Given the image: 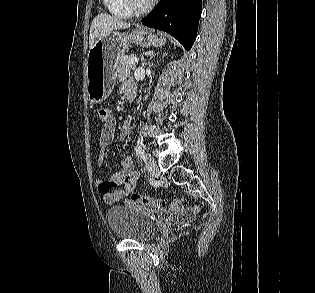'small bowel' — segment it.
<instances>
[{"mask_svg":"<svg viewBox=\"0 0 315 293\" xmlns=\"http://www.w3.org/2000/svg\"><path fill=\"white\" fill-rule=\"evenodd\" d=\"M135 93V85L133 82H125L121 87V94L129 96ZM133 119H128L121 127L119 138L124 140L131 132ZM115 119L110 114L108 121L103 124L100 146L98 152V165L104 161V157L108 146L113 142L115 135ZM139 177L138 172L134 168V162L131 157H126L121 162V169L112 175L109 181L97 179L95 187L102 201L108 205L115 204L127 197L133 190ZM152 217L157 220H174L175 216L170 211H153Z\"/></svg>","mask_w":315,"mask_h":293,"instance_id":"c3829d8e","label":"small bowel"}]
</instances>
